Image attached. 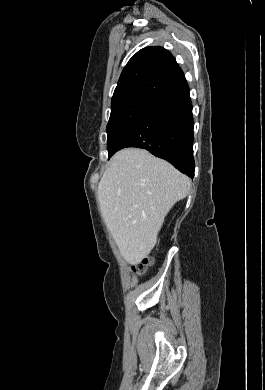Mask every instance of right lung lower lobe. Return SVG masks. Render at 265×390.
<instances>
[{
    "label": "right lung lower lobe",
    "mask_w": 265,
    "mask_h": 390,
    "mask_svg": "<svg viewBox=\"0 0 265 390\" xmlns=\"http://www.w3.org/2000/svg\"><path fill=\"white\" fill-rule=\"evenodd\" d=\"M192 103L184 79L155 98L125 129L115 152L143 148L165 159L180 172L194 177Z\"/></svg>",
    "instance_id": "right-lung-lower-lobe-1"
}]
</instances>
